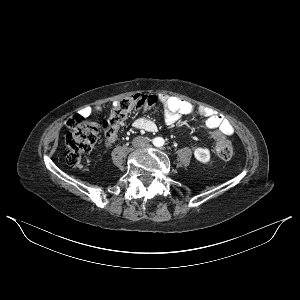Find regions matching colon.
I'll use <instances>...</instances> for the list:
<instances>
[{
    "instance_id": "colon-1",
    "label": "colon",
    "mask_w": 300,
    "mask_h": 300,
    "mask_svg": "<svg viewBox=\"0 0 300 300\" xmlns=\"http://www.w3.org/2000/svg\"><path fill=\"white\" fill-rule=\"evenodd\" d=\"M159 110L158 99L154 95L135 94L123 98L115 103L109 118L103 123V136L106 144H112L128 115L132 111ZM69 132L66 135L67 156L69 166L75 169L83 168V157L88 154L96 142L98 127L80 115H75L67 120ZM216 152L223 160L233 156V146L230 141L220 137L216 144Z\"/></svg>"
}]
</instances>
